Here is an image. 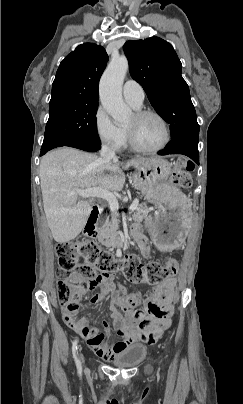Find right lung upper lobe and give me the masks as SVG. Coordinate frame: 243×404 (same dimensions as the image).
<instances>
[{
	"mask_svg": "<svg viewBox=\"0 0 243 404\" xmlns=\"http://www.w3.org/2000/svg\"><path fill=\"white\" fill-rule=\"evenodd\" d=\"M105 49L96 44L78 46L60 63L49 106L61 103H98V85L107 65Z\"/></svg>",
	"mask_w": 243,
	"mask_h": 404,
	"instance_id": "right-lung-upper-lobe-1",
	"label": "right lung upper lobe"
}]
</instances>
